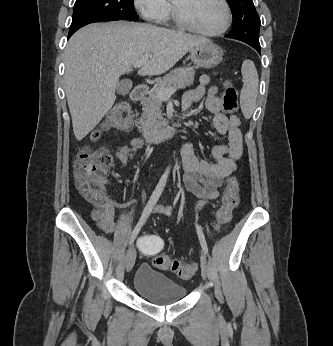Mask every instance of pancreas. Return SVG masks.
I'll return each mask as SVG.
<instances>
[{
    "label": "pancreas",
    "mask_w": 333,
    "mask_h": 346,
    "mask_svg": "<svg viewBox=\"0 0 333 346\" xmlns=\"http://www.w3.org/2000/svg\"><path fill=\"white\" fill-rule=\"evenodd\" d=\"M194 75L195 71L192 68L181 67L170 71L163 79L156 81L149 96L142 101L143 113L140 118V125L145 133L158 132L167 124L161 110L162 100L158 98L157 92L172 86L176 89H184L193 84Z\"/></svg>",
    "instance_id": "cf45deb5"
}]
</instances>
